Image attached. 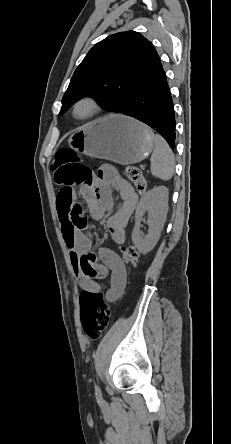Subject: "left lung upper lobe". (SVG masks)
<instances>
[{
  "label": "left lung upper lobe",
  "instance_id": "obj_1",
  "mask_svg": "<svg viewBox=\"0 0 231 444\" xmlns=\"http://www.w3.org/2000/svg\"><path fill=\"white\" fill-rule=\"evenodd\" d=\"M158 57L152 43L134 31L119 32L98 42L75 70L62 98L60 115L81 97L100 101L119 112L142 73Z\"/></svg>",
  "mask_w": 231,
  "mask_h": 444
}]
</instances>
